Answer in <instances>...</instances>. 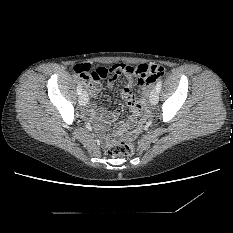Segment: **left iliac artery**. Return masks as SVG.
<instances>
[{"label": "left iliac artery", "mask_w": 233, "mask_h": 233, "mask_svg": "<svg viewBox=\"0 0 233 233\" xmlns=\"http://www.w3.org/2000/svg\"><path fill=\"white\" fill-rule=\"evenodd\" d=\"M161 86H162V81L159 80V81L157 82V84H156V90H157L158 92H160Z\"/></svg>", "instance_id": "left-iliac-artery-1"}]
</instances>
